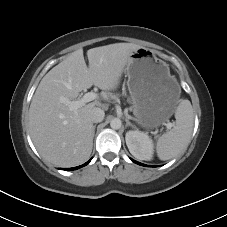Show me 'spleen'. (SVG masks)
<instances>
[{"label":"spleen","instance_id":"1","mask_svg":"<svg viewBox=\"0 0 227 227\" xmlns=\"http://www.w3.org/2000/svg\"><path fill=\"white\" fill-rule=\"evenodd\" d=\"M175 119L173 129L157 140L156 152L160 160L172 159L188 146L194 125L193 108L189 100H180L175 111Z\"/></svg>","mask_w":227,"mask_h":227}]
</instances>
